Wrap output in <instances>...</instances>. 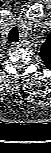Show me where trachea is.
<instances>
[{
	"instance_id": "3493384b",
	"label": "trachea",
	"mask_w": 51,
	"mask_h": 153,
	"mask_svg": "<svg viewBox=\"0 0 51 153\" xmlns=\"http://www.w3.org/2000/svg\"><path fill=\"white\" fill-rule=\"evenodd\" d=\"M8 40L9 42H18L19 35H18V29L17 27H13L11 31L8 34Z\"/></svg>"
}]
</instances>
